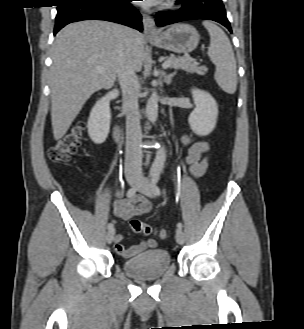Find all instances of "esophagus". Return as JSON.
Returning a JSON list of instances; mask_svg holds the SVG:
<instances>
[{
	"label": "esophagus",
	"mask_w": 304,
	"mask_h": 329,
	"mask_svg": "<svg viewBox=\"0 0 304 329\" xmlns=\"http://www.w3.org/2000/svg\"><path fill=\"white\" fill-rule=\"evenodd\" d=\"M143 28H144V34L147 37H153L157 35L155 21L151 16L147 14H143Z\"/></svg>",
	"instance_id": "esophagus-1"
}]
</instances>
